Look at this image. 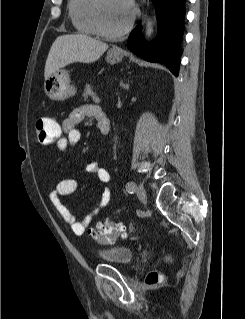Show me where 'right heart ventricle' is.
<instances>
[{"label":"right heart ventricle","mask_w":245,"mask_h":319,"mask_svg":"<svg viewBox=\"0 0 245 319\" xmlns=\"http://www.w3.org/2000/svg\"><path fill=\"white\" fill-rule=\"evenodd\" d=\"M94 3L95 0H69V17L74 28L81 34L98 35L93 18Z\"/></svg>","instance_id":"right-heart-ventricle-1"}]
</instances>
